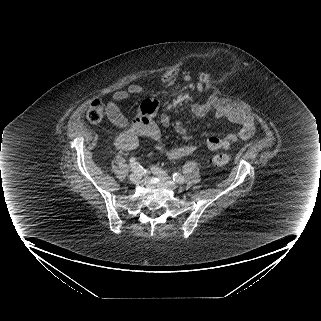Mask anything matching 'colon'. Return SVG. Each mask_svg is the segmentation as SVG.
I'll return each mask as SVG.
<instances>
[{"instance_id":"5ec220e1","label":"colon","mask_w":321,"mask_h":321,"mask_svg":"<svg viewBox=\"0 0 321 321\" xmlns=\"http://www.w3.org/2000/svg\"><path fill=\"white\" fill-rule=\"evenodd\" d=\"M175 71L168 69L160 73L159 78L165 83H170L174 77ZM198 80L202 84H209L212 81V74L209 71H202L199 74ZM106 114V107L100 100H94L90 103L86 118L89 122L100 123ZM210 162L216 166H225L230 162V156L224 153H217L211 156Z\"/></svg>"}]
</instances>
